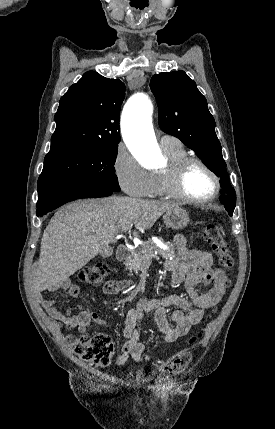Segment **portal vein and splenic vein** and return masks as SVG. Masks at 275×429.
Wrapping results in <instances>:
<instances>
[{
	"instance_id": "obj_1",
	"label": "portal vein and splenic vein",
	"mask_w": 275,
	"mask_h": 429,
	"mask_svg": "<svg viewBox=\"0 0 275 429\" xmlns=\"http://www.w3.org/2000/svg\"><path fill=\"white\" fill-rule=\"evenodd\" d=\"M131 229V226H125L122 230L123 231H128V230H130ZM163 249H166V247L165 246H163L162 247Z\"/></svg>"
}]
</instances>
